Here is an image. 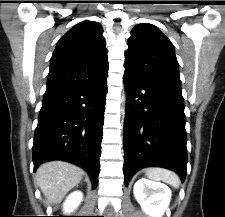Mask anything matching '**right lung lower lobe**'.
I'll use <instances>...</instances> for the list:
<instances>
[{"instance_id": "1", "label": "right lung lower lobe", "mask_w": 225, "mask_h": 217, "mask_svg": "<svg viewBox=\"0 0 225 217\" xmlns=\"http://www.w3.org/2000/svg\"><path fill=\"white\" fill-rule=\"evenodd\" d=\"M106 93L104 79L44 95L34 135V170L46 161H68L85 169L96 187Z\"/></svg>"}]
</instances>
